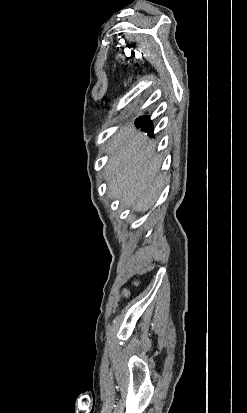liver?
<instances>
[{
    "instance_id": "1",
    "label": "liver",
    "mask_w": 247,
    "mask_h": 413,
    "mask_svg": "<svg viewBox=\"0 0 247 413\" xmlns=\"http://www.w3.org/2000/svg\"><path fill=\"white\" fill-rule=\"evenodd\" d=\"M107 152L110 158L104 178L109 194L120 198L127 209L143 213L151 209L164 182L163 174H159L162 158L155 154L154 142L145 132L124 126L114 134Z\"/></svg>"
}]
</instances>
